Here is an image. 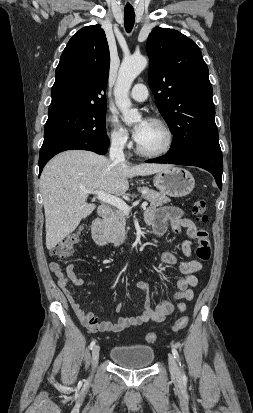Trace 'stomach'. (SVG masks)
Segmentation results:
<instances>
[{
  "mask_svg": "<svg viewBox=\"0 0 253 413\" xmlns=\"http://www.w3.org/2000/svg\"><path fill=\"white\" fill-rule=\"evenodd\" d=\"M153 183L162 193L176 198L187 196L195 186L189 171L173 165L157 172Z\"/></svg>",
  "mask_w": 253,
  "mask_h": 413,
  "instance_id": "1",
  "label": "stomach"
}]
</instances>
